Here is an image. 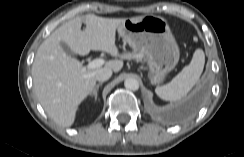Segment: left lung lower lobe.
I'll use <instances>...</instances> for the list:
<instances>
[{
	"instance_id": "1",
	"label": "left lung lower lobe",
	"mask_w": 244,
	"mask_h": 157,
	"mask_svg": "<svg viewBox=\"0 0 244 157\" xmlns=\"http://www.w3.org/2000/svg\"><path fill=\"white\" fill-rule=\"evenodd\" d=\"M201 97V94L197 93L184 101L179 108V115L185 117L195 112L200 105Z\"/></svg>"
}]
</instances>
